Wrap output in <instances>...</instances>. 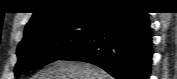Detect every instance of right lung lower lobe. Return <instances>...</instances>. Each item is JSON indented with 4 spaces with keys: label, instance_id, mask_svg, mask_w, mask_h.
Returning a JSON list of instances; mask_svg holds the SVG:
<instances>
[{
    "label": "right lung lower lobe",
    "instance_id": "1",
    "mask_svg": "<svg viewBox=\"0 0 177 79\" xmlns=\"http://www.w3.org/2000/svg\"><path fill=\"white\" fill-rule=\"evenodd\" d=\"M59 60L92 63L116 79H148L152 38L147 12L132 6L105 9L86 40Z\"/></svg>",
    "mask_w": 177,
    "mask_h": 79
}]
</instances>
